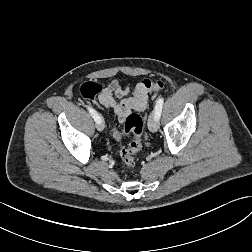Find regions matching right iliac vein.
<instances>
[{
  "label": "right iliac vein",
  "mask_w": 252,
  "mask_h": 252,
  "mask_svg": "<svg viewBox=\"0 0 252 252\" xmlns=\"http://www.w3.org/2000/svg\"><path fill=\"white\" fill-rule=\"evenodd\" d=\"M105 125L104 122L101 120L99 123H97L96 128L99 131H102L104 129Z\"/></svg>",
  "instance_id": "63e3f726"
}]
</instances>
